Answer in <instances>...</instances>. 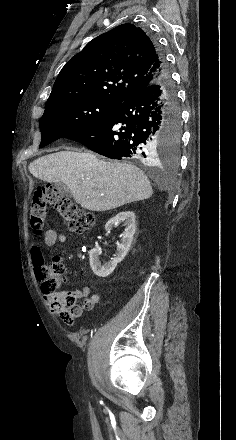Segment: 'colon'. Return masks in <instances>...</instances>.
I'll return each instance as SVG.
<instances>
[{"instance_id": "colon-1", "label": "colon", "mask_w": 236, "mask_h": 440, "mask_svg": "<svg viewBox=\"0 0 236 440\" xmlns=\"http://www.w3.org/2000/svg\"><path fill=\"white\" fill-rule=\"evenodd\" d=\"M50 206L57 210L71 233L81 234L94 225L95 217L92 212L79 207L53 187L38 188L33 192L30 200V221L35 237H40L45 229L47 210ZM38 273L43 278V292L58 306L62 320L72 324L74 319L70 310L76 304L60 289V284L66 278V269L62 260L54 257L49 264L39 266Z\"/></svg>"}]
</instances>
